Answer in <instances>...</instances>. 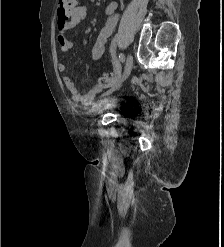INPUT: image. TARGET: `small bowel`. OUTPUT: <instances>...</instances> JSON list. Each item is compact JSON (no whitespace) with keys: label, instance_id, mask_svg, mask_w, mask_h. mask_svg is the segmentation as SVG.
I'll list each match as a JSON object with an SVG mask.
<instances>
[{"label":"small bowel","instance_id":"1","mask_svg":"<svg viewBox=\"0 0 224 247\" xmlns=\"http://www.w3.org/2000/svg\"><path fill=\"white\" fill-rule=\"evenodd\" d=\"M117 7L118 4L115 1L109 3L108 6L106 7L105 12L108 16L106 23L99 31L91 49V57L93 60H98L102 57L107 41L117 25L118 22V14L116 12ZM87 15H88L87 7L78 6L75 9L74 13L72 14L71 18L69 19V22L67 23L66 27L63 29L59 28L56 40L60 47V50L63 53H68L72 49V42L67 38L65 33L66 29H70L78 26L80 22L86 19ZM58 70L60 72H64L66 70V65L64 63H59ZM62 80L65 87L71 94V97L76 101H88L93 97H95L96 95H98L99 93H101L103 90V87L100 84H96L89 90L79 91L75 87V84L71 79V77L65 75L63 76Z\"/></svg>","mask_w":224,"mask_h":247}]
</instances>
